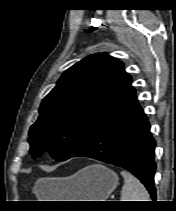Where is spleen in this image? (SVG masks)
<instances>
[{
  "label": "spleen",
  "mask_w": 176,
  "mask_h": 211,
  "mask_svg": "<svg viewBox=\"0 0 176 211\" xmlns=\"http://www.w3.org/2000/svg\"><path fill=\"white\" fill-rule=\"evenodd\" d=\"M124 185L121 191L120 201H150V196L144 185L130 172L121 171Z\"/></svg>",
  "instance_id": "1"
}]
</instances>
